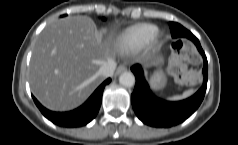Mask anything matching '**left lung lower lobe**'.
<instances>
[{
	"mask_svg": "<svg viewBox=\"0 0 238 145\" xmlns=\"http://www.w3.org/2000/svg\"><path fill=\"white\" fill-rule=\"evenodd\" d=\"M170 29L173 38H188L192 40L203 56V85L190 98L178 102H170L157 98L144 79L143 70L139 64L132 66L136 77V84L131 95V102L137 117L145 124L152 127H172L182 123L190 117L200 106L207 87L208 71L207 58L200 45L199 40L187 29L178 23L170 22Z\"/></svg>",
	"mask_w": 238,
	"mask_h": 145,
	"instance_id": "0a47b994",
	"label": "left lung lower lobe"
}]
</instances>
